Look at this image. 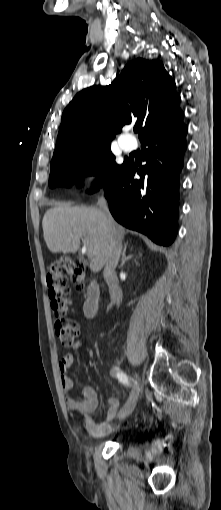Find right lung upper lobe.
Returning a JSON list of instances; mask_svg holds the SVG:
<instances>
[{
  "label": "right lung upper lobe",
  "instance_id": "right-lung-upper-lobe-1",
  "mask_svg": "<svg viewBox=\"0 0 221 510\" xmlns=\"http://www.w3.org/2000/svg\"><path fill=\"white\" fill-rule=\"evenodd\" d=\"M175 81L157 60L137 58L106 87L79 92L62 114L52 161L78 148L110 144L126 124L140 126L139 139L183 120ZM108 117L110 132L105 129ZM51 161V162H52Z\"/></svg>",
  "mask_w": 221,
  "mask_h": 510
}]
</instances>
